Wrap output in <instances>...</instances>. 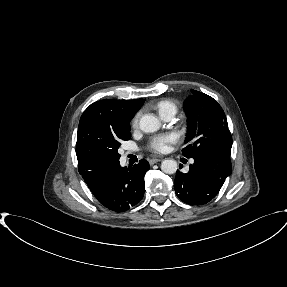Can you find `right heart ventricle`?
Here are the masks:
<instances>
[{"label": "right heart ventricle", "mask_w": 287, "mask_h": 287, "mask_svg": "<svg viewBox=\"0 0 287 287\" xmlns=\"http://www.w3.org/2000/svg\"><path fill=\"white\" fill-rule=\"evenodd\" d=\"M156 109L158 110L160 115H163L167 112L176 113L177 106L175 103L169 100H161L156 104Z\"/></svg>", "instance_id": "e07e8e85"}]
</instances>
